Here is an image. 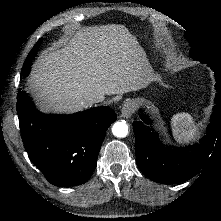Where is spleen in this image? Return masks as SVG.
<instances>
[{"mask_svg": "<svg viewBox=\"0 0 221 221\" xmlns=\"http://www.w3.org/2000/svg\"><path fill=\"white\" fill-rule=\"evenodd\" d=\"M173 136L177 140H189L194 136L193 118L189 113H177L171 118Z\"/></svg>", "mask_w": 221, "mask_h": 221, "instance_id": "1", "label": "spleen"}]
</instances>
